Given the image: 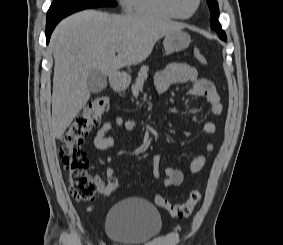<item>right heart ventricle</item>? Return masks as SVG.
<instances>
[{"label": "right heart ventricle", "mask_w": 283, "mask_h": 245, "mask_svg": "<svg viewBox=\"0 0 283 245\" xmlns=\"http://www.w3.org/2000/svg\"><path fill=\"white\" fill-rule=\"evenodd\" d=\"M124 7L128 13L161 18L179 19L172 10L169 0H124Z\"/></svg>", "instance_id": "obj_1"}]
</instances>
